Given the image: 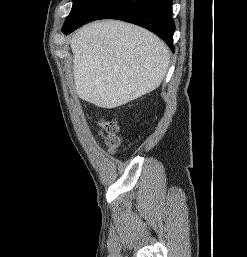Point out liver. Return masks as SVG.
<instances>
[{
  "label": "liver",
  "instance_id": "1",
  "mask_svg": "<svg viewBox=\"0 0 247 257\" xmlns=\"http://www.w3.org/2000/svg\"><path fill=\"white\" fill-rule=\"evenodd\" d=\"M77 95L111 109L156 89L169 66V52L155 34L122 21L94 22L71 40Z\"/></svg>",
  "mask_w": 247,
  "mask_h": 257
}]
</instances>
